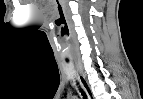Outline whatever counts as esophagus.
I'll return each mask as SVG.
<instances>
[{
    "mask_svg": "<svg viewBox=\"0 0 143 99\" xmlns=\"http://www.w3.org/2000/svg\"><path fill=\"white\" fill-rule=\"evenodd\" d=\"M78 80H79L82 88L86 92L87 98L94 99L91 87L89 86V84L85 78V75L80 70H78Z\"/></svg>",
    "mask_w": 143,
    "mask_h": 99,
    "instance_id": "1",
    "label": "esophagus"
}]
</instances>
